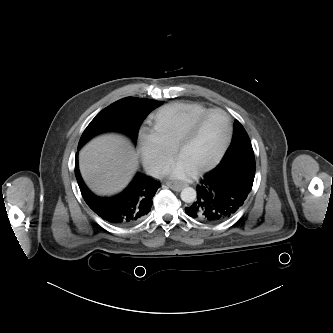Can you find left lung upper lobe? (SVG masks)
Returning a JSON list of instances; mask_svg holds the SVG:
<instances>
[{"instance_id":"obj_1","label":"left lung upper lobe","mask_w":333,"mask_h":333,"mask_svg":"<svg viewBox=\"0 0 333 333\" xmlns=\"http://www.w3.org/2000/svg\"><path fill=\"white\" fill-rule=\"evenodd\" d=\"M244 157L254 158V152L245 129L239 121H236L232 142L220 163Z\"/></svg>"}]
</instances>
